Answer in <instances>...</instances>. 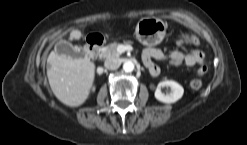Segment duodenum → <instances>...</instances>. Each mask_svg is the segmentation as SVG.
<instances>
[{"instance_id": "duodenum-1", "label": "duodenum", "mask_w": 247, "mask_h": 145, "mask_svg": "<svg viewBox=\"0 0 247 145\" xmlns=\"http://www.w3.org/2000/svg\"><path fill=\"white\" fill-rule=\"evenodd\" d=\"M102 44H103V38L101 36L94 35L91 38H89L86 47L87 55L90 58H96Z\"/></svg>"}]
</instances>
